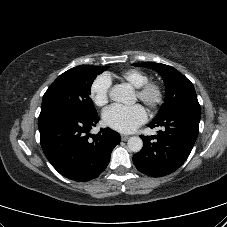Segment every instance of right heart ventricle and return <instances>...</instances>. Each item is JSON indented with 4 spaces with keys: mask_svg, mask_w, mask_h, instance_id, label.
Returning a JSON list of instances; mask_svg holds the SVG:
<instances>
[{
    "mask_svg": "<svg viewBox=\"0 0 227 227\" xmlns=\"http://www.w3.org/2000/svg\"><path fill=\"white\" fill-rule=\"evenodd\" d=\"M120 78L135 88H138L149 81V76L138 69H128L120 74Z\"/></svg>",
    "mask_w": 227,
    "mask_h": 227,
    "instance_id": "1",
    "label": "right heart ventricle"
}]
</instances>
